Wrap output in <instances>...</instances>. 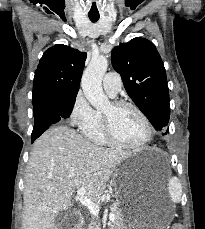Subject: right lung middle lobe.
<instances>
[{
  "mask_svg": "<svg viewBox=\"0 0 205 229\" xmlns=\"http://www.w3.org/2000/svg\"><path fill=\"white\" fill-rule=\"evenodd\" d=\"M76 95H77V92L68 94V97H70L72 100H75L76 99ZM48 98H51V97H47V98H44V99H41V100H38V101H33L32 100V104L34 106V105H36V104L40 103L41 101H43L45 99H48Z\"/></svg>",
  "mask_w": 205,
  "mask_h": 229,
  "instance_id": "obj_1",
  "label": "right lung middle lobe"
}]
</instances>
